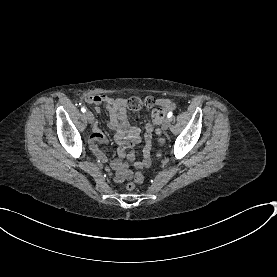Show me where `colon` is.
<instances>
[{
  "mask_svg": "<svg viewBox=\"0 0 277 277\" xmlns=\"http://www.w3.org/2000/svg\"><path fill=\"white\" fill-rule=\"evenodd\" d=\"M127 105L133 111H138L143 108L153 109V123L157 127L158 135H159V144H162L163 139L161 137L160 127L164 120L165 110L160 107H155V101L151 97H146L144 99H140L137 97H131L127 101ZM158 155H160V151H158ZM144 182V175L142 173H136L133 177L132 181L128 183V189H133L136 184H141Z\"/></svg>",
  "mask_w": 277,
  "mask_h": 277,
  "instance_id": "5ec220e1",
  "label": "colon"
}]
</instances>
